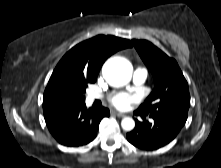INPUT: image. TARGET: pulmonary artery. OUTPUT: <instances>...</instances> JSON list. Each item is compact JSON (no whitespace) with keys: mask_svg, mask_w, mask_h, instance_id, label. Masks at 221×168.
<instances>
[{"mask_svg":"<svg viewBox=\"0 0 221 168\" xmlns=\"http://www.w3.org/2000/svg\"><path fill=\"white\" fill-rule=\"evenodd\" d=\"M146 78H147V71L144 68L139 67L134 71L133 82L135 85L143 84L145 82ZM99 98H100V95L97 93H91L89 95V99L91 101H93L95 99H99Z\"/></svg>","mask_w":221,"mask_h":168,"instance_id":"e3ab8cb5","label":"pulmonary artery"}]
</instances>
